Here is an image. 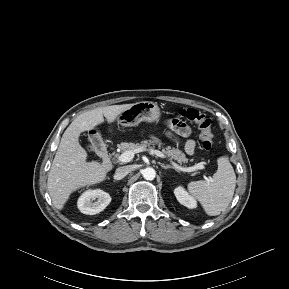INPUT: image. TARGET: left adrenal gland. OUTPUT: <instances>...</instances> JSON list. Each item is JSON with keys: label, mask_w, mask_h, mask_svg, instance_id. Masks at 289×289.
Wrapping results in <instances>:
<instances>
[{"label": "left adrenal gland", "mask_w": 289, "mask_h": 289, "mask_svg": "<svg viewBox=\"0 0 289 289\" xmlns=\"http://www.w3.org/2000/svg\"><path fill=\"white\" fill-rule=\"evenodd\" d=\"M161 167L164 169H175L176 171H178L175 167L171 166V165H164L162 163H160Z\"/></svg>", "instance_id": "left-adrenal-gland-1"}]
</instances>
